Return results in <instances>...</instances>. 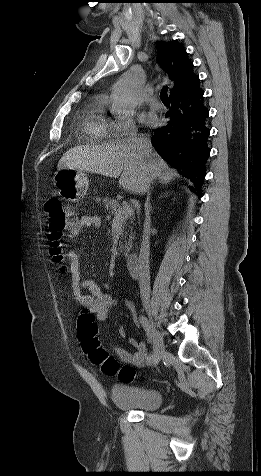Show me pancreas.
<instances>
[{
	"instance_id": "1",
	"label": "pancreas",
	"mask_w": 261,
	"mask_h": 476,
	"mask_svg": "<svg viewBox=\"0 0 261 476\" xmlns=\"http://www.w3.org/2000/svg\"><path fill=\"white\" fill-rule=\"evenodd\" d=\"M104 207H105V210L107 211V213L110 215V216H115L116 213H118L119 210H121V205L120 203L117 201V200H114V199H109V198H104L103 201H102ZM130 220L129 223H133V220H134V215L132 214L131 216H128L127 218H125L123 220V227H126L128 226V222L127 220ZM129 228L131 229V232H130V235H129V239L127 241V235H128V232H124L125 236H123L122 238V242L119 243V249H120V252L123 253L125 256H128L131 248H132V240H133V233H132V227L129 226ZM123 242L125 244H123Z\"/></svg>"
}]
</instances>
